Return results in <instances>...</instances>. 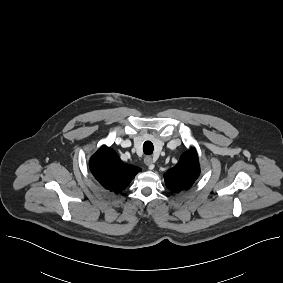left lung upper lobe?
Here are the masks:
<instances>
[{
	"label": "left lung upper lobe",
	"instance_id": "1",
	"mask_svg": "<svg viewBox=\"0 0 283 283\" xmlns=\"http://www.w3.org/2000/svg\"><path fill=\"white\" fill-rule=\"evenodd\" d=\"M200 174L198 156L195 149L185 152L178 164L164 174L166 187L172 192L189 189Z\"/></svg>",
	"mask_w": 283,
	"mask_h": 283
}]
</instances>
